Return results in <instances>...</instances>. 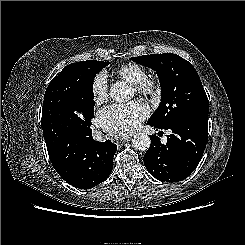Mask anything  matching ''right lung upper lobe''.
<instances>
[{"instance_id": "cb5924a9", "label": "right lung upper lobe", "mask_w": 245, "mask_h": 245, "mask_svg": "<svg viewBox=\"0 0 245 245\" xmlns=\"http://www.w3.org/2000/svg\"><path fill=\"white\" fill-rule=\"evenodd\" d=\"M79 91L71 65L50 82L44 95L42 130L44 138L69 131L67 121L76 113Z\"/></svg>"}]
</instances>
